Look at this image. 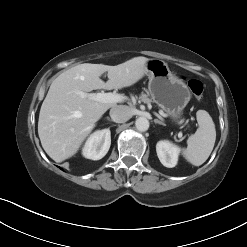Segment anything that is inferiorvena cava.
Returning a JSON list of instances; mask_svg holds the SVG:
<instances>
[{"label": "inferior vena cava", "instance_id": "602c4592", "mask_svg": "<svg viewBox=\"0 0 247 247\" xmlns=\"http://www.w3.org/2000/svg\"><path fill=\"white\" fill-rule=\"evenodd\" d=\"M132 116L131 108L125 105H118L110 110V117L116 123H124Z\"/></svg>", "mask_w": 247, "mask_h": 247}]
</instances>
